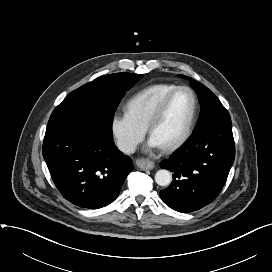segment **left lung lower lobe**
I'll list each match as a JSON object with an SVG mask.
<instances>
[{
	"label": "left lung lower lobe",
	"instance_id": "left-lung-lower-lobe-1",
	"mask_svg": "<svg viewBox=\"0 0 272 272\" xmlns=\"http://www.w3.org/2000/svg\"><path fill=\"white\" fill-rule=\"evenodd\" d=\"M235 159L232 123L222 121L194 130L161 168L173 181L160 197L173 210L193 212L213 202L221 192Z\"/></svg>",
	"mask_w": 272,
	"mask_h": 272
}]
</instances>
